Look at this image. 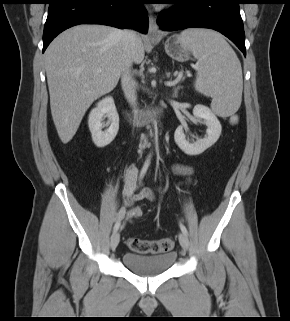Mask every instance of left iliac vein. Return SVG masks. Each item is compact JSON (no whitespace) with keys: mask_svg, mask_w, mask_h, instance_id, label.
Returning <instances> with one entry per match:
<instances>
[{"mask_svg":"<svg viewBox=\"0 0 290 321\" xmlns=\"http://www.w3.org/2000/svg\"><path fill=\"white\" fill-rule=\"evenodd\" d=\"M179 242H180V245L185 249L187 250L189 248V239L187 237L186 234H184L183 232H180L179 235Z\"/></svg>","mask_w":290,"mask_h":321,"instance_id":"4c4485c4","label":"left iliac vein"}]
</instances>
